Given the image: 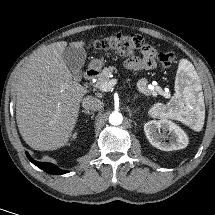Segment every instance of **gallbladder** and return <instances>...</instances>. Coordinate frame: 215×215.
Returning a JSON list of instances; mask_svg holds the SVG:
<instances>
[{"instance_id": "gallbladder-1", "label": "gallbladder", "mask_w": 215, "mask_h": 215, "mask_svg": "<svg viewBox=\"0 0 215 215\" xmlns=\"http://www.w3.org/2000/svg\"><path fill=\"white\" fill-rule=\"evenodd\" d=\"M63 60L71 70L74 78H82V67L86 60V51L83 47L66 46L62 53Z\"/></svg>"}]
</instances>
